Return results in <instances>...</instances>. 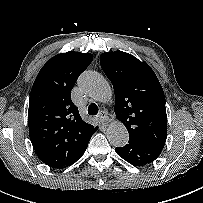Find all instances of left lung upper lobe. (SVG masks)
<instances>
[{
	"label": "left lung upper lobe",
	"mask_w": 203,
	"mask_h": 203,
	"mask_svg": "<svg viewBox=\"0 0 203 203\" xmlns=\"http://www.w3.org/2000/svg\"><path fill=\"white\" fill-rule=\"evenodd\" d=\"M101 67L115 92V114L129 139L161 150L167 138L163 89L149 65L131 54L115 51L100 56Z\"/></svg>",
	"instance_id": "5c2ea615"
}]
</instances>
